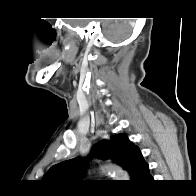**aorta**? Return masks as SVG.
<instances>
[{"mask_svg": "<svg viewBox=\"0 0 196 196\" xmlns=\"http://www.w3.org/2000/svg\"><path fill=\"white\" fill-rule=\"evenodd\" d=\"M102 170L112 173L118 180H128L129 175L119 166L108 164L102 167Z\"/></svg>", "mask_w": 196, "mask_h": 196, "instance_id": "762f6f07", "label": "aorta"}]
</instances>
